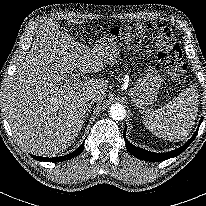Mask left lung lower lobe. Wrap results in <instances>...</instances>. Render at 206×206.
Wrapping results in <instances>:
<instances>
[{
    "label": "left lung lower lobe",
    "instance_id": "0a47b994",
    "mask_svg": "<svg viewBox=\"0 0 206 206\" xmlns=\"http://www.w3.org/2000/svg\"><path fill=\"white\" fill-rule=\"evenodd\" d=\"M202 120H203V118H201V120H200L197 131L182 147L175 149V150H172L170 152H166V153H154V152H150V151H147V150H144V149H141L139 147L134 146L126 139L125 133L127 130V126H125L123 137H124V140L126 143V148L133 156H135L139 159H142V160H146V161L157 162V161H164V160H167L169 158L176 157L179 154H181L195 139Z\"/></svg>",
    "mask_w": 206,
    "mask_h": 206
}]
</instances>
